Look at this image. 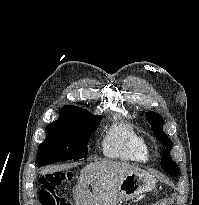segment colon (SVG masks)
Segmentation results:
<instances>
[{
  "mask_svg": "<svg viewBox=\"0 0 199 205\" xmlns=\"http://www.w3.org/2000/svg\"><path fill=\"white\" fill-rule=\"evenodd\" d=\"M71 173H49L41 180L40 200L43 205H59L57 187L70 181Z\"/></svg>",
  "mask_w": 199,
  "mask_h": 205,
  "instance_id": "obj_1",
  "label": "colon"
}]
</instances>
